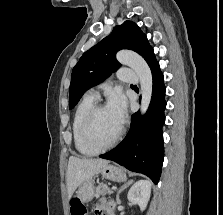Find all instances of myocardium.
I'll use <instances>...</instances> for the list:
<instances>
[{
    "mask_svg": "<svg viewBox=\"0 0 223 215\" xmlns=\"http://www.w3.org/2000/svg\"><path fill=\"white\" fill-rule=\"evenodd\" d=\"M105 108H106V106H104L102 104H95L93 106V108L90 110V112L88 113L85 123H84V126H83L84 141H85L86 145L94 151L95 154H99V153H102V152H105L107 150L114 148L118 144V142L121 140V137L123 134V128H122V126H120L117 135L106 146H99L95 142V140L93 138V127H94L95 118H96L97 114L99 113V111H101L102 109H105Z\"/></svg>",
    "mask_w": 223,
    "mask_h": 215,
    "instance_id": "1",
    "label": "myocardium"
}]
</instances>
